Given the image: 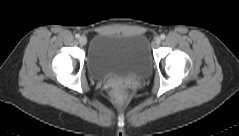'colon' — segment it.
Listing matches in <instances>:
<instances>
[{
	"label": "colon",
	"mask_w": 239,
	"mask_h": 136,
	"mask_svg": "<svg viewBox=\"0 0 239 136\" xmlns=\"http://www.w3.org/2000/svg\"><path fill=\"white\" fill-rule=\"evenodd\" d=\"M127 90L128 86L125 83H115L112 87V94L116 99L122 100L126 97Z\"/></svg>",
	"instance_id": "obj_1"
}]
</instances>
